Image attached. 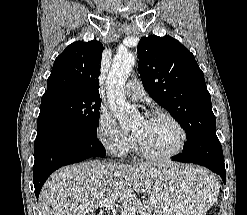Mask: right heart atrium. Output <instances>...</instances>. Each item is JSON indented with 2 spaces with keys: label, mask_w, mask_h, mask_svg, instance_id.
<instances>
[{
  "label": "right heart atrium",
  "mask_w": 247,
  "mask_h": 215,
  "mask_svg": "<svg viewBox=\"0 0 247 215\" xmlns=\"http://www.w3.org/2000/svg\"><path fill=\"white\" fill-rule=\"evenodd\" d=\"M96 136L108 152L118 157L125 156L133 144L131 135L121 129L104 108L98 114Z\"/></svg>",
  "instance_id": "1"
}]
</instances>
